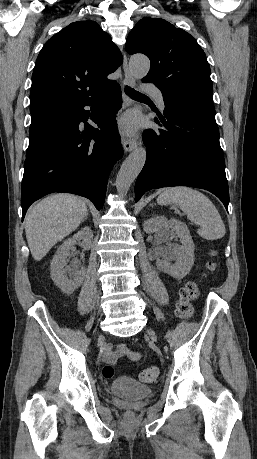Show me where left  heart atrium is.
<instances>
[{
    "label": "left heart atrium",
    "instance_id": "1",
    "mask_svg": "<svg viewBox=\"0 0 257 459\" xmlns=\"http://www.w3.org/2000/svg\"><path fill=\"white\" fill-rule=\"evenodd\" d=\"M119 128L124 135L131 136L139 128V119L134 114L124 116L119 123Z\"/></svg>",
    "mask_w": 257,
    "mask_h": 459
}]
</instances>
